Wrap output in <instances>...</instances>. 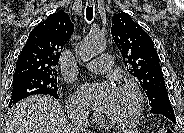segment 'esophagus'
<instances>
[{"mask_svg": "<svg viewBox=\"0 0 184 133\" xmlns=\"http://www.w3.org/2000/svg\"><path fill=\"white\" fill-rule=\"evenodd\" d=\"M88 3H89V4H92V3H93V1H89Z\"/></svg>", "mask_w": 184, "mask_h": 133, "instance_id": "1", "label": "esophagus"}]
</instances>
